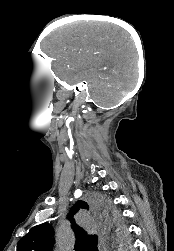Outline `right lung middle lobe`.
<instances>
[{
	"instance_id": "right-lung-middle-lobe-1",
	"label": "right lung middle lobe",
	"mask_w": 174,
	"mask_h": 251,
	"mask_svg": "<svg viewBox=\"0 0 174 251\" xmlns=\"http://www.w3.org/2000/svg\"><path fill=\"white\" fill-rule=\"evenodd\" d=\"M96 205L99 212L100 219L102 220L103 227L107 232H112L114 228H117L119 234L124 232V227L121 223L120 214L114 210L110 202L105 201L104 197L97 195L96 196ZM117 232V234H118ZM115 244H120V239L115 240Z\"/></svg>"
}]
</instances>
